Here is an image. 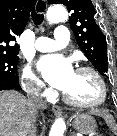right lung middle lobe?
I'll return each mask as SVG.
<instances>
[{
	"instance_id": "obj_1",
	"label": "right lung middle lobe",
	"mask_w": 117,
	"mask_h": 136,
	"mask_svg": "<svg viewBox=\"0 0 117 136\" xmlns=\"http://www.w3.org/2000/svg\"><path fill=\"white\" fill-rule=\"evenodd\" d=\"M18 62L19 58L16 55H0V78H18Z\"/></svg>"
}]
</instances>
